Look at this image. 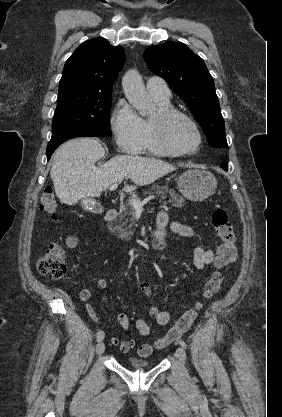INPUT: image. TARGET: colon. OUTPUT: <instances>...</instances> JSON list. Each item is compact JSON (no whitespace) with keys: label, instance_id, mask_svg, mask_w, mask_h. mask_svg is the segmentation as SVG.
<instances>
[{"label":"colon","instance_id":"1","mask_svg":"<svg viewBox=\"0 0 282 417\" xmlns=\"http://www.w3.org/2000/svg\"><path fill=\"white\" fill-rule=\"evenodd\" d=\"M40 204L43 212L49 217L52 222L56 221L55 212L58 207L57 199L54 195L53 189L46 186L40 197ZM212 226L220 240V245L217 250L218 261L224 265L229 266L237 259L238 246L237 239L234 233L233 224L229 220L226 211L222 208L216 209L211 215ZM37 269L43 273L59 279L66 274V265L63 251L51 244L47 252L38 260ZM223 283V275L221 273H214L206 282L204 287V296L211 297L217 294ZM199 305L193 309L187 310L173 325L171 330H167L166 335L162 340L157 342L154 347L156 352L161 350L165 344H174L176 340L180 339L181 335L187 328L195 321L199 309ZM139 353L141 356H151L153 350L148 345H143Z\"/></svg>","mask_w":282,"mask_h":417}]
</instances>
